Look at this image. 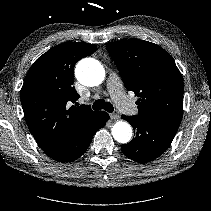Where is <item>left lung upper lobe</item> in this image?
I'll return each instance as SVG.
<instances>
[{
  "instance_id": "5c2ea615",
  "label": "left lung upper lobe",
  "mask_w": 211,
  "mask_h": 211,
  "mask_svg": "<svg viewBox=\"0 0 211 211\" xmlns=\"http://www.w3.org/2000/svg\"><path fill=\"white\" fill-rule=\"evenodd\" d=\"M106 48L125 87L139 97L136 116L181 122L183 79L169 53L139 39L110 42Z\"/></svg>"
}]
</instances>
